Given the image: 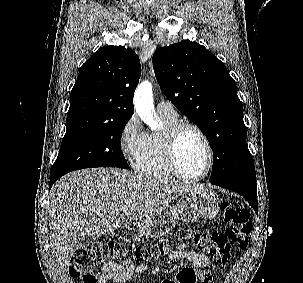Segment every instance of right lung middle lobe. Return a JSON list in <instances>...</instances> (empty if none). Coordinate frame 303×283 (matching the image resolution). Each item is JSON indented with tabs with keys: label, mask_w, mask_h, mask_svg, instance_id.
<instances>
[{
	"label": "right lung middle lobe",
	"mask_w": 303,
	"mask_h": 283,
	"mask_svg": "<svg viewBox=\"0 0 303 283\" xmlns=\"http://www.w3.org/2000/svg\"><path fill=\"white\" fill-rule=\"evenodd\" d=\"M128 120L90 117L67 119V130L51 173H68L90 167L129 168L120 138Z\"/></svg>",
	"instance_id": "1"
}]
</instances>
